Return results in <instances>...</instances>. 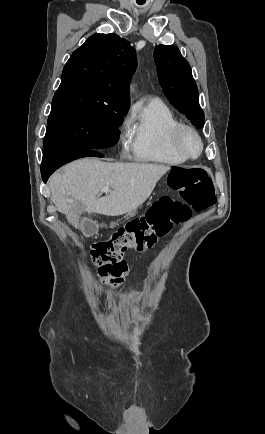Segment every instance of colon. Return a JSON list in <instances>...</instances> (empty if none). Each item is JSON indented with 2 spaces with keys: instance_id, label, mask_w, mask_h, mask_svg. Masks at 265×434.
Listing matches in <instances>:
<instances>
[{
  "instance_id": "1",
  "label": "colon",
  "mask_w": 265,
  "mask_h": 434,
  "mask_svg": "<svg viewBox=\"0 0 265 434\" xmlns=\"http://www.w3.org/2000/svg\"><path fill=\"white\" fill-rule=\"evenodd\" d=\"M169 169V188L182 193L181 201L163 197L146 214L118 227L91 246L94 265L101 269L100 281L120 285L127 273L122 260L130 250L142 251L157 245L175 226L186 222L193 211H203L216 204L211 173L204 164H177Z\"/></svg>"
}]
</instances>
